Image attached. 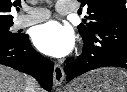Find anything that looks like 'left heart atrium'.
Here are the masks:
<instances>
[{"mask_svg": "<svg viewBox=\"0 0 127 92\" xmlns=\"http://www.w3.org/2000/svg\"><path fill=\"white\" fill-rule=\"evenodd\" d=\"M36 48L53 57L68 55L74 46V35L71 28L57 21H49L37 26L32 35Z\"/></svg>", "mask_w": 127, "mask_h": 92, "instance_id": "left-heart-atrium-1", "label": "left heart atrium"}]
</instances>
